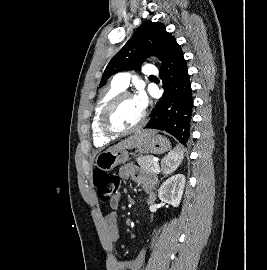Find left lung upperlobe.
I'll return each mask as SVG.
<instances>
[{"label": "left lung upper lobe", "instance_id": "1", "mask_svg": "<svg viewBox=\"0 0 267 270\" xmlns=\"http://www.w3.org/2000/svg\"><path fill=\"white\" fill-rule=\"evenodd\" d=\"M176 43L171 33L166 31L164 24L143 23L124 47L110 60L101 79L100 87L111 75L119 71L138 69L146 60L148 52L161 59L163 64Z\"/></svg>", "mask_w": 267, "mask_h": 270}]
</instances>
